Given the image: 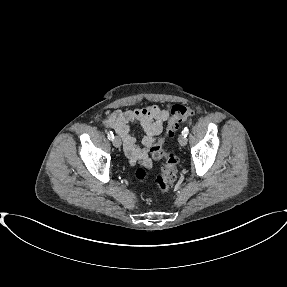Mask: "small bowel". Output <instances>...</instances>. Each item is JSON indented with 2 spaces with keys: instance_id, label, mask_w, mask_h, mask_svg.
<instances>
[{
  "instance_id": "c3829d8e",
  "label": "small bowel",
  "mask_w": 287,
  "mask_h": 287,
  "mask_svg": "<svg viewBox=\"0 0 287 287\" xmlns=\"http://www.w3.org/2000/svg\"><path fill=\"white\" fill-rule=\"evenodd\" d=\"M169 115V108L161 109L156 105H146L130 110H115L106 118L105 123L122 138L130 163L149 168L152 165L149 152L161 134L163 123ZM132 124H139L143 129L142 146H138L135 142L130 129Z\"/></svg>"
}]
</instances>
